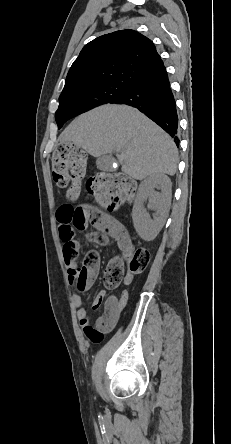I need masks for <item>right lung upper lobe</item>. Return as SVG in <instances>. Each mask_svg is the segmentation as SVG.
<instances>
[{
  "instance_id": "1",
  "label": "right lung upper lobe",
  "mask_w": 231,
  "mask_h": 444,
  "mask_svg": "<svg viewBox=\"0 0 231 444\" xmlns=\"http://www.w3.org/2000/svg\"><path fill=\"white\" fill-rule=\"evenodd\" d=\"M165 71L150 39L134 30H121L100 36L83 47L67 74L63 91L107 83L133 86Z\"/></svg>"
}]
</instances>
